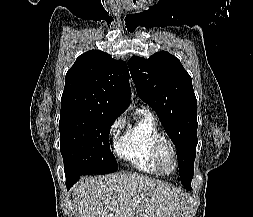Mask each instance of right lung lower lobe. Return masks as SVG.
<instances>
[{
	"instance_id": "1",
	"label": "right lung lower lobe",
	"mask_w": 253,
	"mask_h": 217,
	"mask_svg": "<svg viewBox=\"0 0 253 217\" xmlns=\"http://www.w3.org/2000/svg\"><path fill=\"white\" fill-rule=\"evenodd\" d=\"M81 176H77V177H67V181H66V186H67V189H70V187L75 184L78 179L80 178Z\"/></svg>"
}]
</instances>
